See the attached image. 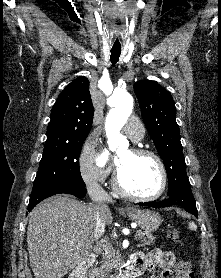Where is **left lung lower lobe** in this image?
Listing matches in <instances>:
<instances>
[{
  "label": "left lung lower lobe",
  "instance_id": "1",
  "mask_svg": "<svg viewBox=\"0 0 221 278\" xmlns=\"http://www.w3.org/2000/svg\"><path fill=\"white\" fill-rule=\"evenodd\" d=\"M168 196L169 197L167 199H164L160 202H145L139 203V205L159 208L178 205L185 208L186 211L194 214L196 217L198 216L196 203L190 188V184H184L178 187L171 195Z\"/></svg>",
  "mask_w": 221,
  "mask_h": 278
}]
</instances>
